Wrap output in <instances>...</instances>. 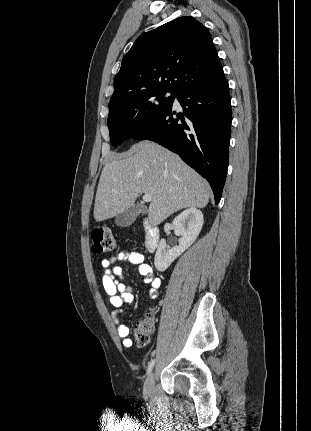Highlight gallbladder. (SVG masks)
I'll return each mask as SVG.
<instances>
[{
	"label": "gallbladder",
	"instance_id": "bac80fb5",
	"mask_svg": "<svg viewBox=\"0 0 311 431\" xmlns=\"http://www.w3.org/2000/svg\"><path fill=\"white\" fill-rule=\"evenodd\" d=\"M141 212H147V208H144L141 204H134L132 208H129L126 212H122V214L116 216L115 223L116 225H120V227H128V225H131V223L135 221L136 217L139 216Z\"/></svg>",
	"mask_w": 311,
	"mask_h": 431
}]
</instances>
